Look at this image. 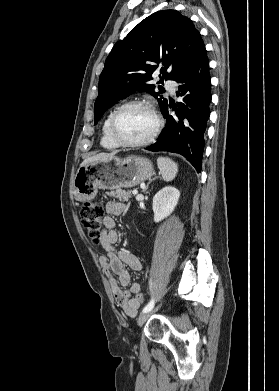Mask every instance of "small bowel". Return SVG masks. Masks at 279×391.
I'll return each mask as SVG.
<instances>
[{
    "label": "small bowel",
    "mask_w": 279,
    "mask_h": 391,
    "mask_svg": "<svg viewBox=\"0 0 279 391\" xmlns=\"http://www.w3.org/2000/svg\"><path fill=\"white\" fill-rule=\"evenodd\" d=\"M124 208V204L113 201L105 205L104 230L100 238L104 254L100 257V265L107 273L112 293L121 310L125 315L134 317L140 307L136 296L141 293V285L132 283L129 289L124 288L130 283V275L125 266L135 271H140L143 266L135 255L115 247L119 235L114 216L120 215Z\"/></svg>",
    "instance_id": "c3829d8e"
}]
</instances>
